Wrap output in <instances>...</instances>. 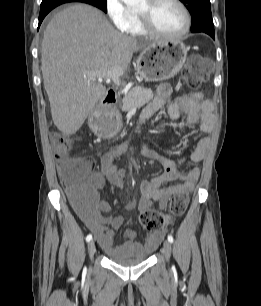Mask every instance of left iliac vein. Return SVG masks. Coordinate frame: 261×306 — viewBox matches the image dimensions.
<instances>
[{"label":"left iliac vein","mask_w":261,"mask_h":306,"mask_svg":"<svg viewBox=\"0 0 261 306\" xmlns=\"http://www.w3.org/2000/svg\"><path fill=\"white\" fill-rule=\"evenodd\" d=\"M171 250H172L171 243L169 241H167V240L164 241V243H163V252H164L166 261H169V259H170Z\"/></svg>","instance_id":"1"}]
</instances>
